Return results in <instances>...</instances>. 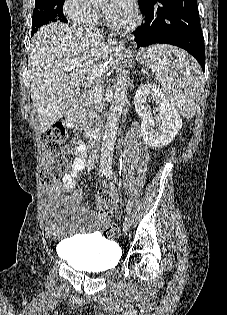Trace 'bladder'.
I'll return each mask as SVG.
<instances>
[{
	"label": "bladder",
	"instance_id": "bladder-1",
	"mask_svg": "<svg viewBox=\"0 0 227 315\" xmlns=\"http://www.w3.org/2000/svg\"><path fill=\"white\" fill-rule=\"evenodd\" d=\"M59 252L70 266L86 271L112 269L121 254L118 244L98 235L69 238Z\"/></svg>",
	"mask_w": 227,
	"mask_h": 315
}]
</instances>
